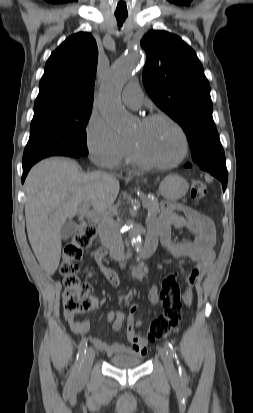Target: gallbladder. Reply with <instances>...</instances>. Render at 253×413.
<instances>
[{
  "instance_id": "1",
  "label": "gallbladder",
  "mask_w": 253,
  "mask_h": 413,
  "mask_svg": "<svg viewBox=\"0 0 253 413\" xmlns=\"http://www.w3.org/2000/svg\"><path fill=\"white\" fill-rule=\"evenodd\" d=\"M78 224L72 220L67 221L61 228L60 237L62 240L69 239L78 231Z\"/></svg>"
}]
</instances>
